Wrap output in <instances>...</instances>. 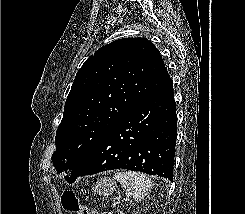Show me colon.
Segmentation results:
<instances>
[{
	"mask_svg": "<svg viewBox=\"0 0 245 214\" xmlns=\"http://www.w3.org/2000/svg\"><path fill=\"white\" fill-rule=\"evenodd\" d=\"M62 207L74 214H98L95 210L83 206L73 191L66 190L61 198ZM104 214H123L119 210H107Z\"/></svg>",
	"mask_w": 245,
	"mask_h": 214,
	"instance_id": "obj_1",
	"label": "colon"
}]
</instances>
